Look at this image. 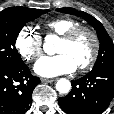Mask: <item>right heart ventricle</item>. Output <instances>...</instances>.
<instances>
[{"label": "right heart ventricle", "mask_w": 114, "mask_h": 114, "mask_svg": "<svg viewBox=\"0 0 114 114\" xmlns=\"http://www.w3.org/2000/svg\"><path fill=\"white\" fill-rule=\"evenodd\" d=\"M79 25L80 23L73 18L58 17L45 22L44 28L47 34H55L62 36L70 29Z\"/></svg>", "instance_id": "e07e8e85"}]
</instances>
